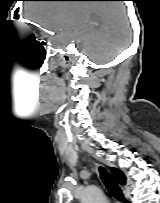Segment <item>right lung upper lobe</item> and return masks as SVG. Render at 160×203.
I'll use <instances>...</instances> for the list:
<instances>
[{
	"mask_svg": "<svg viewBox=\"0 0 160 203\" xmlns=\"http://www.w3.org/2000/svg\"><path fill=\"white\" fill-rule=\"evenodd\" d=\"M111 172L115 180L120 184L124 185L126 183L125 175L116 168H111Z\"/></svg>",
	"mask_w": 160,
	"mask_h": 203,
	"instance_id": "right-lung-upper-lobe-1",
	"label": "right lung upper lobe"
}]
</instances>
